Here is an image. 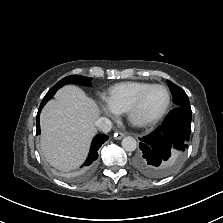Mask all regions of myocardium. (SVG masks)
<instances>
[{"instance_id": "f54148a6", "label": "myocardium", "mask_w": 223, "mask_h": 223, "mask_svg": "<svg viewBox=\"0 0 223 223\" xmlns=\"http://www.w3.org/2000/svg\"><path fill=\"white\" fill-rule=\"evenodd\" d=\"M154 88H162L167 96V100L165 103V106L163 107V109L161 110V112L156 115L153 118L150 119H145V120H141L138 119L136 117V114L145 98V96ZM171 103V95L170 92L168 90V88L162 84H152L149 87H147L146 89H144L134 100V102L131 104V106L129 107V109L127 110V118L128 121L135 127H139V128H145L148 126H151L155 123H157L167 112V110L169 109Z\"/></svg>"}]
</instances>
